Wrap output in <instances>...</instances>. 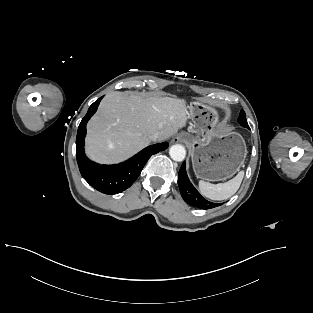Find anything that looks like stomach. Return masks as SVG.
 Wrapping results in <instances>:
<instances>
[{
    "mask_svg": "<svg viewBox=\"0 0 313 313\" xmlns=\"http://www.w3.org/2000/svg\"><path fill=\"white\" fill-rule=\"evenodd\" d=\"M188 116L196 133V136L185 134L196 177L221 181L233 176L247 155L242 136L222 130L218 124L217 111L202 102H191Z\"/></svg>",
    "mask_w": 313,
    "mask_h": 313,
    "instance_id": "obj_1",
    "label": "stomach"
}]
</instances>
